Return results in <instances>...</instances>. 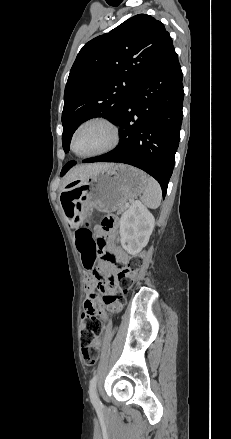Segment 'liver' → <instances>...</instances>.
<instances>
[{"label":"liver","mask_w":231,"mask_h":439,"mask_svg":"<svg viewBox=\"0 0 231 439\" xmlns=\"http://www.w3.org/2000/svg\"><path fill=\"white\" fill-rule=\"evenodd\" d=\"M112 163H93L86 165H77L70 169L64 176L62 187L66 186L72 181L78 179H86L91 175L98 173L108 167L113 166Z\"/></svg>","instance_id":"1"}]
</instances>
